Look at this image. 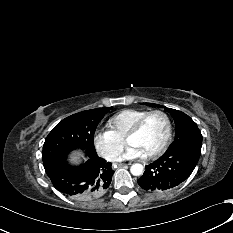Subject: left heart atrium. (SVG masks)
Instances as JSON below:
<instances>
[{"mask_svg":"<svg viewBox=\"0 0 233 233\" xmlns=\"http://www.w3.org/2000/svg\"><path fill=\"white\" fill-rule=\"evenodd\" d=\"M143 156H144L143 152L140 149H138L136 146L128 145V147L126 148L124 154L121 156L120 159L130 160V159L140 158Z\"/></svg>","mask_w":233,"mask_h":233,"instance_id":"39dd6f15","label":"left heart atrium"}]
</instances>
